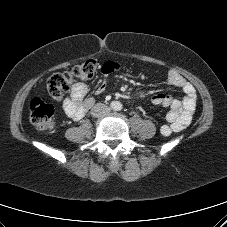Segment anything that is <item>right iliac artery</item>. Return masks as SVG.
<instances>
[{
  "label": "right iliac artery",
  "instance_id": "obj_1",
  "mask_svg": "<svg viewBox=\"0 0 227 227\" xmlns=\"http://www.w3.org/2000/svg\"><path fill=\"white\" fill-rule=\"evenodd\" d=\"M111 108L115 109L116 108V104L114 102L111 103Z\"/></svg>",
  "mask_w": 227,
  "mask_h": 227
}]
</instances>
